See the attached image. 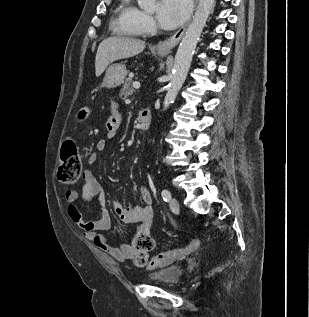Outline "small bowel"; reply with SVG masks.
<instances>
[{"label": "small bowel", "mask_w": 309, "mask_h": 317, "mask_svg": "<svg viewBox=\"0 0 309 317\" xmlns=\"http://www.w3.org/2000/svg\"><path fill=\"white\" fill-rule=\"evenodd\" d=\"M120 114L116 106L113 109V114L109 117L106 123L105 138L101 139L96 144L97 151H104L107 142L113 141L117 137L118 128L120 125ZM98 160L97 153H91L87 158L89 166H93ZM83 187L81 193L75 190H68L65 194L66 211L69 218L82 231L83 236L91 241L100 251L111 256L119 262L131 259L135 255V249L131 244H124L120 247H113L107 243L103 231L108 230L111 226V218L105 209H101L100 217L97 220H86L81 213L77 202L82 201L89 203L94 199L102 200L104 191L90 169L84 170L82 174ZM142 205L125 207L118 202L112 203V208L119 218L125 224L138 223L143 228H149L153 220V199L151 193L144 187L139 190Z\"/></svg>", "instance_id": "c3829d8e"}]
</instances>
